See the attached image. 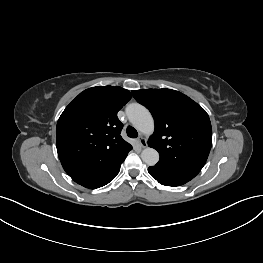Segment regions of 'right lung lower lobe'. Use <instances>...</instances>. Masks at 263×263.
Instances as JSON below:
<instances>
[{"instance_id":"98d812e1","label":"right lung lower lobe","mask_w":263,"mask_h":263,"mask_svg":"<svg viewBox=\"0 0 263 263\" xmlns=\"http://www.w3.org/2000/svg\"><path fill=\"white\" fill-rule=\"evenodd\" d=\"M124 160L120 161L119 163H117L115 166H113L112 168H110L108 171L104 173H101L96 176L88 177L85 179H81L75 182L89 189H96L102 187L108 184L116 177V175L120 171V166L124 162Z\"/></svg>"}]
</instances>
